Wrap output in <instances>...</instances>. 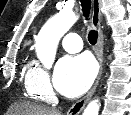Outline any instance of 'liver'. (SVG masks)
<instances>
[{
    "mask_svg": "<svg viewBox=\"0 0 131 115\" xmlns=\"http://www.w3.org/2000/svg\"><path fill=\"white\" fill-rule=\"evenodd\" d=\"M7 113L9 115H61L55 109L29 103L14 104Z\"/></svg>",
    "mask_w": 131,
    "mask_h": 115,
    "instance_id": "obj_1",
    "label": "liver"
}]
</instances>
